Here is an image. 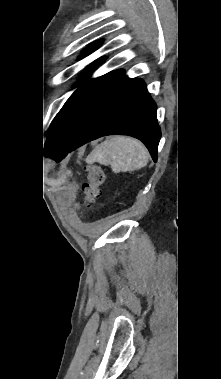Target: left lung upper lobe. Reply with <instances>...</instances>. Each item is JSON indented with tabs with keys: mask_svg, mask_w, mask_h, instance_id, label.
Here are the masks:
<instances>
[{
	"mask_svg": "<svg viewBox=\"0 0 221 379\" xmlns=\"http://www.w3.org/2000/svg\"><path fill=\"white\" fill-rule=\"evenodd\" d=\"M100 44H90L84 55L95 50ZM101 61L103 60H96L95 63ZM122 73L123 70H116L79 86L51 123L45 143V156L51 157L62 146L82 117ZM79 84L80 82L77 83Z\"/></svg>",
	"mask_w": 221,
	"mask_h": 379,
	"instance_id": "obj_1",
	"label": "left lung upper lobe"
}]
</instances>
